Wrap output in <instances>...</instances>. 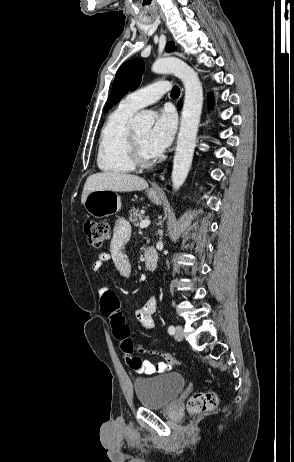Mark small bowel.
<instances>
[{
  "mask_svg": "<svg viewBox=\"0 0 294 462\" xmlns=\"http://www.w3.org/2000/svg\"><path fill=\"white\" fill-rule=\"evenodd\" d=\"M130 235L131 230L129 224L123 219L118 220L114 227V233L108 247V252L99 254L98 258L92 264V270L94 272H98L102 269L106 262L113 260L119 274L123 278H129L132 274V266L124 250L127 242L129 241ZM108 291L109 289L107 287H102L99 289V294L102 297ZM157 306V297L153 296L135 312L137 320L146 330H152L155 326L153 314L156 312ZM171 368L172 363L167 360L156 364L148 360H141L140 367L132 369L137 374L153 375L169 371Z\"/></svg>",
  "mask_w": 294,
  "mask_h": 462,
  "instance_id": "c3829d8e",
  "label": "small bowel"
}]
</instances>
